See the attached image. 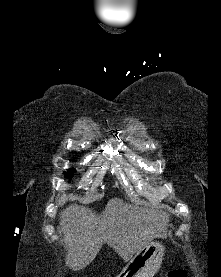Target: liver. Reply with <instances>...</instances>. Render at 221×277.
<instances>
[{
	"label": "liver",
	"instance_id": "1",
	"mask_svg": "<svg viewBox=\"0 0 221 277\" xmlns=\"http://www.w3.org/2000/svg\"><path fill=\"white\" fill-rule=\"evenodd\" d=\"M59 232L64 234L66 265L73 271L88 266L103 243L126 262L154 238H166V212L111 199L102 214L73 204L59 214Z\"/></svg>",
	"mask_w": 221,
	"mask_h": 277
}]
</instances>
